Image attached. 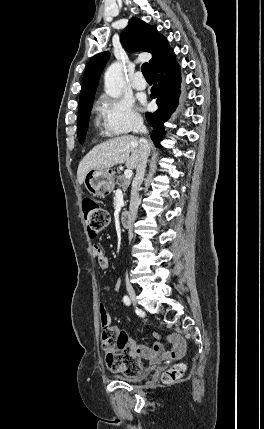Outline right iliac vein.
<instances>
[{
	"mask_svg": "<svg viewBox=\"0 0 264 429\" xmlns=\"http://www.w3.org/2000/svg\"><path fill=\"white\" fill-rule=\"evenodd\" d=\"M126 288H127V292H128V295H129L131 301L133 303H136L137 299H136L135 290H134L132 284L130 283L128 277L126 278Z\"/></svg>",
	"mask_w": 264,
	"mask_h": 429,
	"instance_id": "obj_1",
	"label": "right iliac vein"
}]
</instances>
